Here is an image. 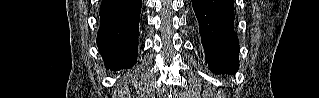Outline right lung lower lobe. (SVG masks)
<instances>
[{
    "label": "right lung lower lobe",
    "instance_id": "obj_1",
    "mask_svg": "<svg viewBox=\"0 0 319 98\" xmlns=\"http://www.w3.org/2000/svg\"><path fill=\"white\" fill-rule=\"evenodd\" d=\"M142 0H103L97 34L107 69L119 71L136 62Z\"/></svg>",
    "mask_w": 319,
    "mask_h": 98
}]
</instances>
